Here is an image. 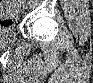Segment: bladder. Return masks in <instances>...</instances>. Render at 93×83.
Masks as SVG:
<instances>
[{
  "label": "bladder",
  "mask_w": 93,
  "mask_h": 83,
  "mask_svg": "<svg viewBox=\"0 0 93 83\" xmlns=\"http://www.w3.org/2000/svg\"><path fill=\"white\" fill-rule=\"evenodd\" d=\"M14 34V31L12 28H7L5 25L1 27V40H7Z\"/></svg>",
  "instance_id": "31cf9c89"
}]
</instances>
